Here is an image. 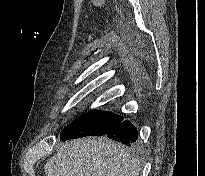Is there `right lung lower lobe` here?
<instances>
[{
    "label": "right lung lower lobe",
    "instance_id": "98d812e1",
    "mask_svg": "<svg viewBox=\"0 0 205 176\" xmlns=\"http://www.w3.org/2000/svg\"><path fill=\"white\" fill-rule=\"evenodd\" d=\"M105 135L110 139L119 141L127 146L132 145L138 139V131L137 129L128 121H121L114 128H112ZM61 137V136H60ZM67 138L62 139L65 141ZM70 139H74L73 137ZM68 140V139H67Z\"/></svg>",
    "mask_w": 205,
    "mask_h": 176
}]
</instances>
